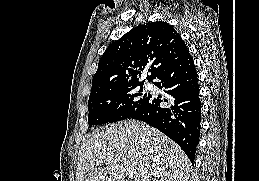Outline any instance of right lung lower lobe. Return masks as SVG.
Returning <instances> with one entry per match:
<instances>
[{
    "label": "right lung lower lobe",
    "mask_w": 259,
    "mask_h": 181,
    "mask_svg": "<svg viewBox=\"0 0 259 181\" xmlns=\"http://www.w3.org/2000/svg\"><path fill=\"white\" fill-rule=\"evenodd\" d=\"M198 74L189 52L162 71L154 82L165 88L170 100L151 95L147 104L130 118L144 121L175 141L193 164L199 143L201 102L199 99ZM165 101L167 106L160 103Z\"/></svg>",
    "instance_id": "98d812e1"
}]
</instances>
